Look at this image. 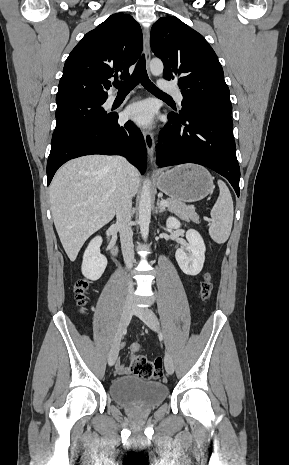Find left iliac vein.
<instances>
[{
    "label": "left iliac vein",
    "mask_w": 289,
    "mask_h": 465,
    "mask_svg": "<svg viewBox=\"0 0 289 465\" xmlns=\"http://www.w3.org/2000/svg\"><path fill=\"white\" fill-rule=\"evenodd\" d=\"M134 313L138 316L150 329L159 330V322L154 312L148 308H134ZM165 369L168 374L174 372V361L169 351L165 352L164 358Z\"/></svg>",
    "instance_id": "left-iliac-vein-1"
}]
</instances>
